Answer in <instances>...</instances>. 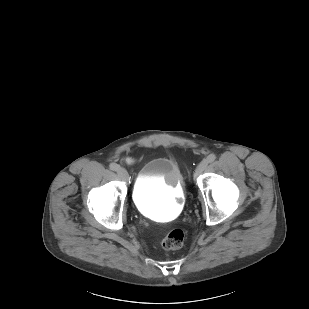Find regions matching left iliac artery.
I'll return each instance as SVG.
<instances>
[{"instance_id":"obj_1","label":"left iliac artery","mask_w":309,"mask_h":309,"mask_svg":"<svg viewBox=\"0 0 309 309\" xmlns=\"http://www.w3.org/2000/svg\"><path fill=\"white\" fill-rule=\"evenodd\" d=\"M215 159H216L215 154H210V155L206 158V161H207V163H211V162H213Z\"/></svg>"}]
</instances>
